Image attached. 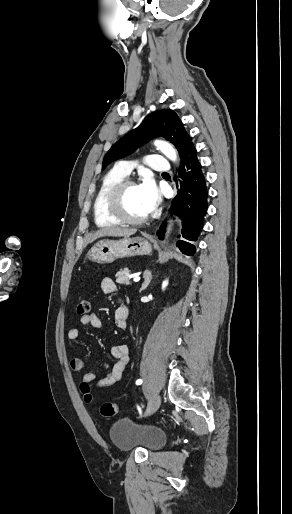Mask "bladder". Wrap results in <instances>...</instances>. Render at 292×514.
<instances>
[{
  "instance_id": "bladder-1",
  "label": "bladder",
  "mask_w": 292,
  "mask_h": 514,
  "mask_svg": "<svg viewBox=\"0 0 292 514\" xmlns=\"http://www.w3.org/2000/svg\"><path fill=\"white\" fill-rule=\"evenodd\" d=\"M108 435L111 442L124 451L135 448L147 451L157 450L166 440L161 430L141 425L127 417L114 422L109 428Z\"/></svg>"
}]
</instances>
